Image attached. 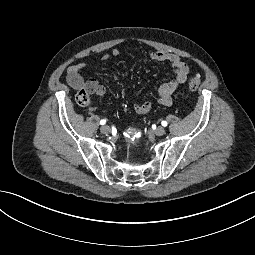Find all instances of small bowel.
<instances>
[{"label":"small bowel","mask_w":255,"mask_h":255,"mask_svg":"<svg viewBox=\"0 0 255 255\" xmlns=\"http://www.w3.org/2000/svg\"><path fill=\"white\" fill-rule=\"evenodd\" d=\"M119 49L115 48L110 54H105L102 57L103 61H107L110 56H119ZM144 58L157 61L168 62L173 68L174 74L171 80L160 85L157 90L156 96L148 101L137 103L134 105V110L138 114H145L152 108L153 102L156 101L162 105H170L172 102V95L176 89L186 82L189 75V67L185 61L178 55L173 53H167L163 51L149 52L144 55ZM87 66V63L80 62L70 66L67 70V83L75 90H78L84 86H87L98 97L103 98L106 95L105 88L98 83L96 79H90L85 81L81 72Z\"/></svg>","instance_id":"c3829d8e"}]
</instances>
